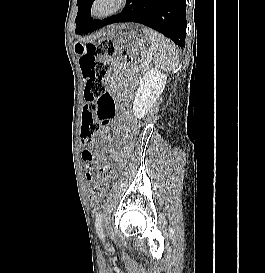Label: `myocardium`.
I'll return each instance as SVG.
<instances>
[{"label":"myocardium","instance_id":"myocardium-1","mask_svg":"<svg viewBox=\"0 0 265 273\" xmlns=\"http://www.w3.org/2000/svg\"><path fill=\"white\" fill-rule=\"evenodd\" d=\"M100 2L101 0H92L89 6V15L94 20H103L118 14L126 7L128 0H114L111 7L104 12L97 11Z\"/></svg>","mask_w":265,"mask_h":273}]
</instances>
